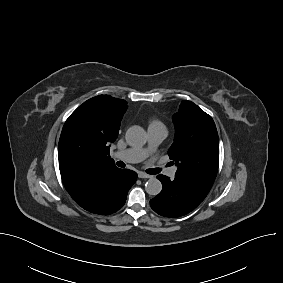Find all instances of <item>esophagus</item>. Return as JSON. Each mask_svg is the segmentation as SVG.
Segmentation results:
<instances>
[{
    "instance_id": "esophagus-1",
    "label": "esophagus",
    "mask_w": 283,
    "mask_h": 283,
    "mask_svg": "<svg viewBox=\"0 0 283 283\" xmlns=\"http://www.w3.org/2000/svg\"><path fill=\"white\" fill-rule=\"evenodd\" d=\"M138 177L142 179H147V178H151L152 176L143 172H139Z\"/></svg>"
}]
</instances>
